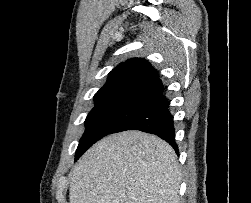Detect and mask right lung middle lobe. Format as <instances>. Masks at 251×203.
Segmentation results:
<instances>
[{"instance_id": "obj_1", "label": "right lung middle lobe", "mask_w": 251, "mask_h": 203, "mask_svg": "<svg viewBox=\"0 0 251 203\" xmlns=\"http://www.w3.org/2000/svg\"><path fill=\"white\" fill-rule=\"evenodd\" d=\"M141 111L128 106L94 107L85 120L86 130L79 141L75 161L96 141L111 134L120 124Z\"/></svg>"}]
</instances>
